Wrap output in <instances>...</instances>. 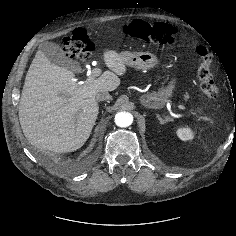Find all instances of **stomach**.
Here are the masks:
<instances>
[{
  "instance_id": "1",
  "label": "stomach",
  "mask_w": 236,
  "mask_h": 236,
  "mask_svg": "<svg viewBox=\"0 0 236 236\" xmlns=\"http://www.w3.org/2000/svg\"><path fill=\"white\" fill-rule=\"evenodd\" d=\"M121 56L125 59L126 64L137 69H150L158 64L156 55L150 52H123ZM176 86V78L158 89V91L148 92L140 97V103L147 109L162 108L172 96Z\"/></svg>"
}]
</instances>
